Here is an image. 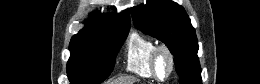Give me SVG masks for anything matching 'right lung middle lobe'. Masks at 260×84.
I'll return each instance as SVG.
<instances>
[{
    "instance_id": "1",
    "label": "right lung middle lobe",
    "mask_w": 260,
    "mask_h": 84,
    "mask_svg": "<svg viewBox=\"0 0 260 84\" xmlns=\"http://www.w3.org/2000/svg\"><path fill=\"white\" fill-rule=\"evenodd\" d=\"M128 30L109 31L94 40L70 44L67 74L71 84H100L112 72Z\"/></svg>"
}]
</instances>
